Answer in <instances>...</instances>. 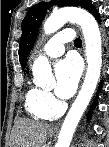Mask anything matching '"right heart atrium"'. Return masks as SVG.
Here are the masks:
<instances>
[{
    "label": "right heart atrium",
    "instance_id": "right-heart-atrium-1",
    "mask_svg": "<svg viewBox=\"0 0 109 147\" xmlns=\"http://www.w3.org/2000/svg\"><path fill=\"white\" fill-rule=\"evenodd\" d=\"M43 103L50 109H56L58 107L56 99L48 91H42L41 95Z\"/></svg>",
    "mask_w": 109,
    "mask_h": 147
}]
</instances>
